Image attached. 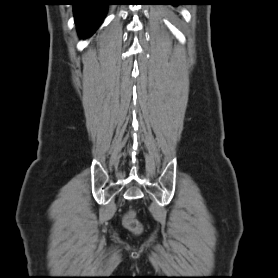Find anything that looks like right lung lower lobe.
<instances>
[{"label": "right lung lower lobe", "instance_id": "obj_1", "mask_svg": "<svg viewBox=\"0 0 278 278\" xmlns=\"http://www.w3.org/2000/svg\"><path fill=\"white\" fill-rule=\"evenodd\" d=\"M74 6L75 22L79 34L83 37L91 35L103 21L107 13L106 0H76Z\"/></svg>", "mask_w": 278, "mask_h": 278}]
</instances>
